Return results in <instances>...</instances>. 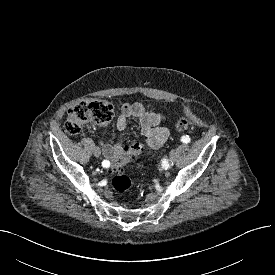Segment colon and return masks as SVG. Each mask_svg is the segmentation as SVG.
<instances>
[{
    "instance_id": "1",
    "label": "colon",
    "mask_w": 275,
    "mask_h": 275,
    "mask_svg": "<svg viewBox=\"0 0 275 275\" xmlns=\"http://www.w3.org/2000/svg\"><path fill=\"white\" fill-rule=\"evenodd\" d=\"M113 115L114 108L110 102L101 99H86L78 102L68 110L64 127L67 133L77 135L87 123H95L101 127L107 126L111 122ZM191 123V111L185 109L183 116L178 119L176 127L179 130H185ZM143 150L142 144H134L128 156L112 162L110 170L114 173V177L112 178L111 186L116 193L124 194L131 189L132 181L123 173V170L130 158L141 154Z\"/></svg>"
}]
</instances>
